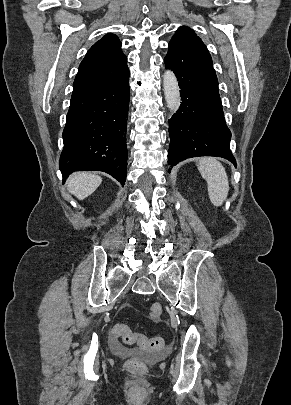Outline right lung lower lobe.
Instances as JSON below:
<instances>
[{"mask_svg":"<svg viewBox=\"0 0 291 405\" xmlns=\"http://www.w3.org/2000/svg\"><path fill=\"white\" fill-rule=\"evenodd\" d=\"M129 93L128 70L72 95L59 160L64 181L74 171L98 170L124 185Z\"/></svg>","mask_w":291,"mask_h":405,"instance_id":"obj_1","label":"right lung lower lobe"}]
</instances>
